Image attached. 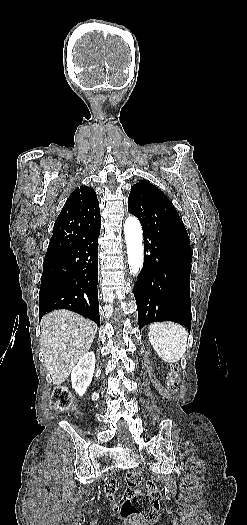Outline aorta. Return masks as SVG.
I'll return each instance as SVG.
<instances>
[{
    "mask_svg": "<svg viewBox=\"0 0 247 525\" xmlns=\"http://www.w3.org/2000/svg\"><path fill=\"white\" fill-rule=\"evenodd\" d=\"M124 234L127 244V255L130 273L138 274L143 266V236L140 222L133 216L127 217L124 223Z\"/></svg>",
    "mask_w": 247,
    "mask_h": 525,
    "instance_id": "1",
    "label": "aorta"
}]
</instances>
